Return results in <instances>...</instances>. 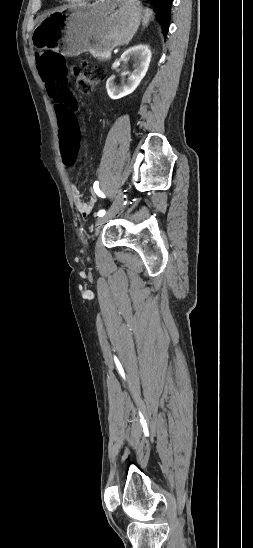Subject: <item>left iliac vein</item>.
<instances>
[{
    "label": "left iliac vein",
    "instance_id": "1",
    "mask_svg": "<svg viewBox=\"0 0 253 548\" xmlns=\"http://www.w3.org/2000/svg\"><path fill=\"white\" fill-rule=\"evenodd\" d=\"M122 198H123V193L119 192L110 210L104 216H101L96 220L95 234H94L95 236L100 232L102 226L116 214V212L118 211L121 205Z\"/></svg>",
    "mask_w": 253,
    "mask_h": 548
}]
</instances>
